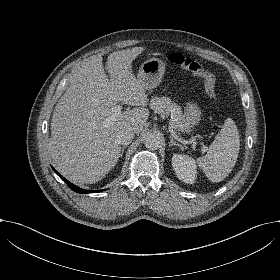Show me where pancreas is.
<instances>
[{
	"instance_id": "obj_1",
	"label": "pancreas",
	"mask_w": 280,
	"mask_h": 280,
	"mask_svg": "<svg viewBox=\"0 0 280 280\" xmlns=\"http://www.w3.org/2000/svg\"><path fill=\"white\" fill-rule=\"evenodd\" d=\"M150 108L161 117H168L172 114L170 125L174 128L184 130L185 129V118L182 113L181 107L176 103L172 102L168 97H153L150 101Z\"/></svg>"
}]
</instances>
